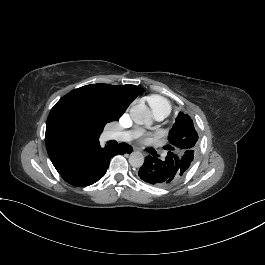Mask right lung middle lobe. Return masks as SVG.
<instances>
[{
  "label": "right lung middle lobe",
  "mask_w": 265,
  "mask_h": 265,
  "mask_svg": "<svg viewBox=\"0 0 265 265\" xmlns=\"http://www.w3.org/2000/svg\"><path fill=\"white\" fill-rule=\"evenodd\" d=\"M72 105L75 112L85 109H92L95 112L98 121L103 125V127L108 122L118 120L124 113L121 109L112 104L98 105L87 101H79L72 103Z\"/></svg>",
  "instance_id": "1"
}]
</instances>
